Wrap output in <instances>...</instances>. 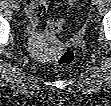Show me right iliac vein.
I'll return each instance as SVG.
<instances>
[{
  "instance_id": "right-iliac-vein-1",
  "label": "right iliac vein",
  "mask_w": 111,
  "mask_h": 106,
  "mask_svg": "<svg viewBox=\"0 0 111 106\" xmlns=\"http://www.w3.org/2000/svg\"><path fill=\"white\" fill-rule=\"evenodd\" d=\"M12 8H13V10L18 11L20 9V6H19V4L17 2H14L12 4Z\"/></svg>"
}]
</instances>
